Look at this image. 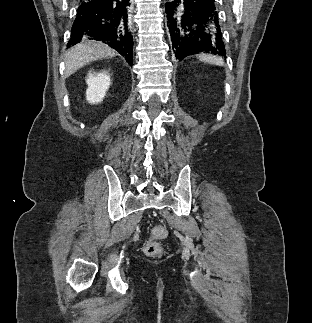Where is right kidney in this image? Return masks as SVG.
Returning <instances> with one entry per match:
<instances>
[{
  "instance_id": "1",
  "label": "right kidney",
  "mask_w": 312,
  "mask_h": 323,
  "mask_svg": "<svg viewBox=\"0 0 312 323\" xmlns=\"http://www.w3.org/2000/svg\"><path fill=\"white\" fill-rule=\"evenodd\" d=\"M88 88L86 90V100L89 104H98V102H103V98L106 96V92L111 84L110 76H107L106 72H92L88 74L86 80Z\"/></svg>"
}]
</instances>
